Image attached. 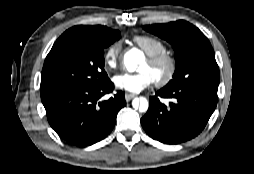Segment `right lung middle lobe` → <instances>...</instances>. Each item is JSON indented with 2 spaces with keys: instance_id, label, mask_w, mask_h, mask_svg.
Segmentation results:
<instances>
[{
  "instance_id": "obj_1",
  "label": "right lung middle lobe",
  "mask_w": 254,
  "mask_h": 174,
  "mask_svg": "<svg viewBox=\"0 0 254 174\" xmlns=\"http://www.w3.org/2000/svg\"><path fill=\"white\" fill-rule=\"evenodd\" d=\"M119 31L103 38L64 32L54 43L42 69L41 96L70 88L95 87L108 80L104 48L119 40Z\"/></svg>"
}]
</instances>
